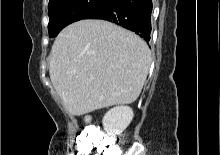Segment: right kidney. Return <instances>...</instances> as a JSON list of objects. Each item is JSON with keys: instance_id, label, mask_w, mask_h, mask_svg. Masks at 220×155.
Instances as JSON below:
<instances>
[{"instance_id": "obj_1", "label": "right kidney", "mask_w": 220, "mask_h": 155, "mask_svg": "<svg viewBox=\"0 0 220 155\" xmlns=\"http://www.w3.org/2000/svg\"><path fill=\"white\" fill-rule=\"evenodd\" d=\"M134 113L128 106H118L103 117L104 130L110 135H120L131 123Z\"/></svg>"}]
</instances>
